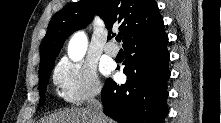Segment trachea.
Masks as SVG:
<instances>
[{"instance_id":"trachea-1","label":"trachea","mask_w":221,"mask_h":123,"mask_svg":"<svg viewBox=\"0 0 221 123\" xmlns=\"http://www.w3.org/2000/svg\"><path fill=\"white\" fill-rule=\"evenodd\" d=\"M121 40H122V36H117V37H116V41H117V42H120Z\"/></svg>"}]
</instances>
